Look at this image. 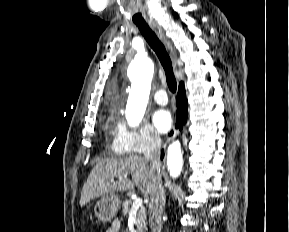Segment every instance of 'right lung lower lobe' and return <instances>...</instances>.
I'll use <instances>...</instances> for the list:
<instances>
[{
    "mask_svg": "<svg viewBox=\"0 0 289 232\" xmlns=\"http://www.w3.org/2000/svg\"><path fill=\"white\" fill-rule=\"evenodd\" d=\"M188 104L186 101L185 96V88L184 85L179 86V91L177 95V112H176V128H179L180 130L183 129V126L185 125L187 121V115H188ZM164 156V151L161 153V158Z\"/></svg>",
    "mask_w": 289,
    "mask_h": 232,
    "instance_id": "98d812e1",
    "label": "right lung lower lobe"
}]
</instances>
